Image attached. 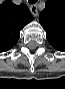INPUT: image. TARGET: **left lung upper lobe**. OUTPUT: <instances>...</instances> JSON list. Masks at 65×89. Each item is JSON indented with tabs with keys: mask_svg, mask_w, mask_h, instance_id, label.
<instances>
[{
	"mask_svg": "<svg viewBox=\"0 0 65 89\" xmlns=\"http://www.w3.org/2000/svg\"><path fill=\"white\" fill-rule=\"evenodd\" d=\"M39 21L48 42L55 49L65 51V0H47Z\"/></svg>",
	"mask_w": 65,
	"mask_h": 89,
	"instance_id": "1",
	"label": "left lung upper lobe"
}]
</instances>
